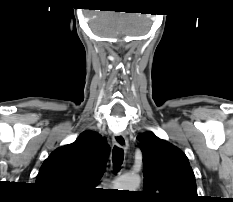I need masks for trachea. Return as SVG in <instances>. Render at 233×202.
Here are the masks:
<instances>
[{"mask_svg": "<svg viewBox=\"0 0 233 202\" xmlns=\"http://www.w3.org/2000/svg\"><path fill=\"white\" fill-rule=\"evenodd\" d=\"M124 160V151L122 148L114 146L112 152V161L115 171H119L120 166L122 165Z\"/></svg>", "mask_w": 233, "mask_h": 202, "instance_id": "obj_1", "label": "trachea"}]
</instances>
